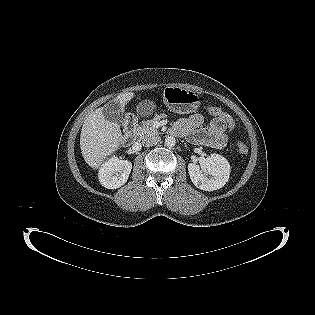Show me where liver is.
<instances>
[{"instance_id":"1","label":"liver","mask_w":315,"mask_h":315,"mask_svg":"<svg viewBox=\"0 0 315 315\" xmlns=\"http://www.w3.org/2000/svg\"><path fill=\"white\" fill-rule=\"evenodd\" d=\"M133 93H123L117 96L121 110L133 98ZM104 108L91 112L85 119L80 135V148L85 162L93 169H97L123 142L120 125L106 119Z\"/></svg>"}]
</instances>
